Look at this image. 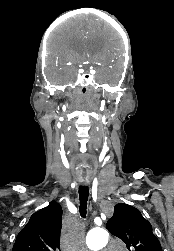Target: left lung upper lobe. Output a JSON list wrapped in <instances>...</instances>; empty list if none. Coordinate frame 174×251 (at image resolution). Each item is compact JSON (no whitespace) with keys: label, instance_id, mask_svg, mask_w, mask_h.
I'll return each mask as SVG.
<instances>
[{"label":"left lung upper lobe","instance_id":"5c2ea615","mask_svg":"<svg viewBox=\"0 0 174 251\" xmlns=\"http://www.w3.org/2000/svg\"><path fill=\"white\" fill-rule=\"evenodd\" d=\"M107 229L122 239L129 251H162L160 242L152 233L151 224L140 211L125 203L114 207V215Z\"/></svg>","mask_w":174,"mask_h":251}]
</instances>
